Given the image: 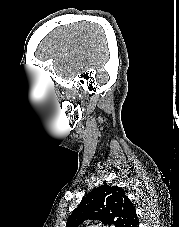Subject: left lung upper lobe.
<instances>
[{
	"label": "left lung upper lobe",
	"mask_w": 179,
	"mask_h": 227,
	"mask_svg": "<svg viewBox=\"0 0 179 227\" xmlns=\"http://www.w3.org/2000/svg\"><path fill=\"white\" fill-rule=\"evenodd\" d=\"M99 220L116 227H137L134 205L117 186L101 185L89 192L72 212L66 227H79L85 220Z\"/></svg>",
	"instance_id": "5c2ea615"
}]
</instances>
